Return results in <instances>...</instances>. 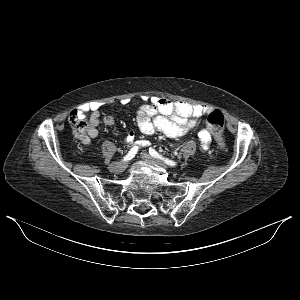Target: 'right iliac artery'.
Returning a JSON list of instances; mask_svg holds the SVG:
<instances>
[{
	"mask_svg": "<svg viewBox=\"0 0 300 300\" xmlns=\"http://www.w3.org/2000/svg\"><path fill=\"white\" fill-rule=\"evenodd\" d=\"M137 151H138V147L137 146H134L133 148H131V150L123 158V161H129V160H131L136 155Z\"/></svg>",
	"mask_w": 300,
	"mask_h": 300,
	"instance_id": "1",
	"label": "right iliac artery"
}]
</instances>
